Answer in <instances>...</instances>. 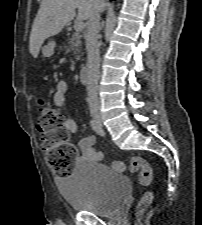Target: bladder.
<instances>
[{
	"instance_id": "1",
	"label": "bladder",
	"mask_w": 202,
	"mask_h": 225,
	"mask_svg": "<svg viewBox=\"0 0 202 225\" xmlns=\"http://www.w3.org/2000/svg\"><path fill=\"white\" fill-rule=\"evenodd\" d=\"M59 187L72 210L112 216L129 196L131 183L125 174L113 172L105 164L82 160Z\"/></svg>"
}]
</instances>
